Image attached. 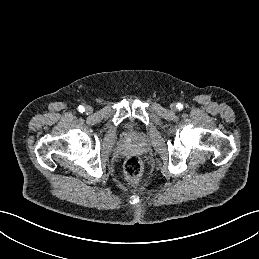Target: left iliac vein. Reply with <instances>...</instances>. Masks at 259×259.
Returning a JSON list of instances; mask_svg holds the SVG:
<instances>
[{
    "label": "left iliac vein",
    "instance_id": "obj_1",
    "mask_svg": "<svg viewBox=\"0 0 259 259\" xmlns=\"http://www.w3.org/2000/svg\"><path fill=\"white\" fill-rule=\"evenodd\" d=\"M171 109H172V110H176V105H175V104H172V105H171Z\"/></svg>",
    "mask_w": 259,
    "mask_h": 259
}]
</instances>
